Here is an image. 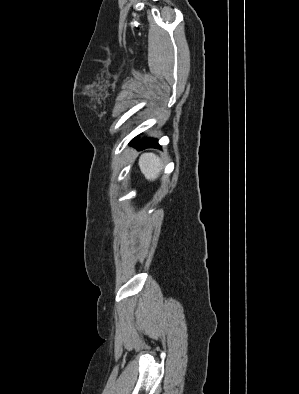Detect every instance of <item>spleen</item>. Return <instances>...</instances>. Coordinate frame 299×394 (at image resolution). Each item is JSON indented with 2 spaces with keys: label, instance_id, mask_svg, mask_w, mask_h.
<instances>
[{
  "label": "spleen",
  "instance_id": "spleen-1",
  "mask_svg": "<svg viewBox=\"0 0 299 394\" xmlns=\"http://www.w3.org/2000/svg\"><path fill=\"white\" fill-rule=\"evenodd\" d=\"M139 167L147 180H155L160 175L164 162L153 153H145L140 156Z\"/></svg>",
  "mask_w": 299,
  "mask_h": 394
}]
</instances>
